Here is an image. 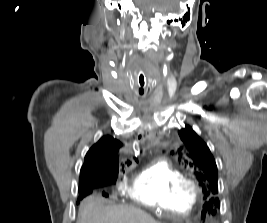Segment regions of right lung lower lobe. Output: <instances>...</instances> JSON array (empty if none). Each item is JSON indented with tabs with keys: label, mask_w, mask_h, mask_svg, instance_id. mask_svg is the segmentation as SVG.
Wrapping results in <instances>:
<instances>
[{
	"label": "right lung lower lobe",
	"mask_w": 267,
	"mask_h": 223,
	"mask_svg": "<svg viewBox=\"0 0 267 223\" xmlns=\"http://www.w3.org/2000/svg\"><path fill=\"white\" fill-rule=\"evenodd\" d=\"M109 185V184H108ZM107 186L106 181L99 177H86L80 179L79 191L82 193H91V190L98 187Z\"/></svg>",
	"instance_id": "obj_1"
}]
</instances>
